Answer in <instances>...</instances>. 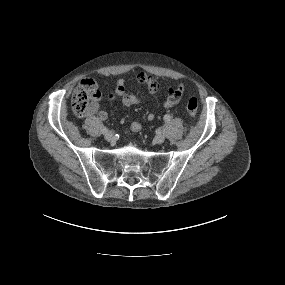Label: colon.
I'll list each match as a JSON object with an SVG mask.
<instances>
[{"instance_id": "colon-1", "label": "colon", "mask_w": 285, "mask_h": 285, "mask_svg": "<svg viewBox=\"0 0 285 285\" xmlns=\"http://www.w3.org/2000/svg\"><path fill=\"white\" fill-rule=\"evenodd\" d=\"M98 93L99 91L94 80L85 79L81 81L71 99V107L74 115L77 117L85 116L92 100ZM186 111L191 119L196 117L198 111V100L196 98H190L188 100Z\"/></svg>"}]
</instances>
